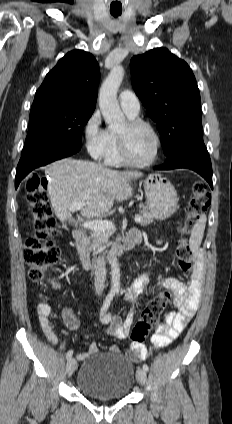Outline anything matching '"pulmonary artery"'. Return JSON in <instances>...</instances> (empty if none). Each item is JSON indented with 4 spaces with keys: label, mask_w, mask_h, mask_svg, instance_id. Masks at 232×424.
<instances>
[{
    "label": "pulmonary artery",
    "mask_w": 232,
    "mask_h": 424,
    "mask_svg": "<svg viewBox=\"0 0 232 424\" xmlns=\"http://www.w3.org/2000/svg\"><path fill=\"white\" fill-rule=\"evenodd\" d=\"M119 105L121 109L129 116H137L140 112V101L138 97L129 90L120 93Z\"/></svg>",
    "instance_id": "pulmonary-artery-1"
}]
</instances>
